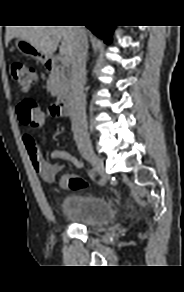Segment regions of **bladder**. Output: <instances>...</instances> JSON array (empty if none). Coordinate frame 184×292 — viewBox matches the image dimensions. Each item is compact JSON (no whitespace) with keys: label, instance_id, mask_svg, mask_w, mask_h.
<instances>
[{"label":"bladder","instance_id":"bladder-1","mask_svg":"<svg viewBox=\"0 0 184 292\" xmlns=\"http://www.w3.org/2000/svg\"><path fill=\"white\" fill-rule=\"evenodd\" d=\"M60 210L66 219L89 229L101 228L115 218L112 202L99 195H69L61 203Z\"/></svg>","mask_w":184,"mask_h":292}]
</instances>
